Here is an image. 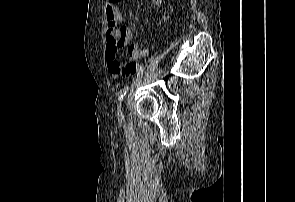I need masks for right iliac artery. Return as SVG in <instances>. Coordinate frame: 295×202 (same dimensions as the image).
Returning a JSON list of instances; mask_svg holds the SVG:
<instances>
[{"instance_id":"1","label":"right iliac artery","mask_w":295,"mask_h":202,"mask_svg":"<svg viewBox=\"0 0 295 202\" xmlns=\"http://www.w3.org/2000/svg\"><path fill=\"white\" fill-rule=\"evenodd\" d=\"M128 86H125L124 88H122L119 92V96H118V100L119 102L122 101L123 97L126 95L127 91H128Z\"/></svg>"}]
</instances>
